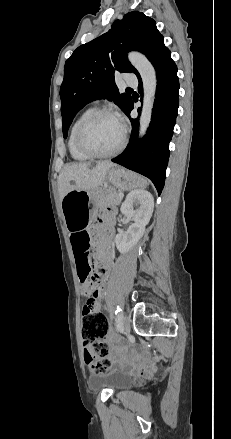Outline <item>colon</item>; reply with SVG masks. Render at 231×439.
Here are the masks:
<instances>
[{
	"label": "colon",
	"instance_id": "obj_1",
	"mask_svg": "<svg viewBox=\"0 0 231 439\" xmlns=\"http://www.w3.org/2000/svg\"><path fill=\"white\" fill-rule=\"evenodd\" d=\"M74 230H78V227H74ZM78 275L84 284L85 293L91 295L97 279L91 270V265L87 264L81 267ZM107 332L106 317L100 312L92 311L85 304L83 307L82 340L85 346L93 345V352H87L84 357L86 365L95 373L105 372L111 365L106 358L108 348L100 341Z\"/></svg>",
	"mask_w": 231,
	"mask_h": 439
}]
</instances>
